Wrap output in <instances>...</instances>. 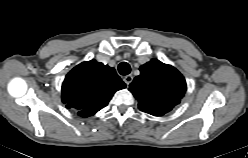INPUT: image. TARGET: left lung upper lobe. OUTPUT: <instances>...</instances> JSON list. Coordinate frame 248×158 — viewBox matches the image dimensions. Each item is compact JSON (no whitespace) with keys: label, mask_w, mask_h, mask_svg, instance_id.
<instances>
[{"label":"left lung upper lobe","mask_w":248,"mask_h":158,"mask_svg":"<svg viewBox=\"0 0 248 158\" xmlns=\"http://www.w3.org/2000/svg\"><path fill=\"white\" fill-rule=\"evenodd\" d=\"M141 74L130 84L129 90L139 101V109L154 116H162L180 103L186 92V81L174 67L152 59L140 67Z\"/></svg>","instance_id":"1"}]
</instances>
